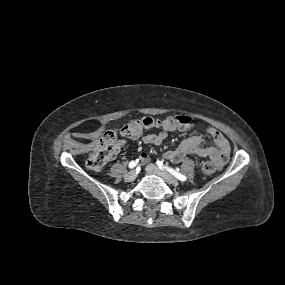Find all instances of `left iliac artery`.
Here are the masks:
<instances>
[{
  "mask_svg": "<svg viewBox=\"0 0 285 285\" xmlns=\"http://www.w3.org/2000/svg\"><path fill=\"white\" fill-rule=\"evenodd\" d=\"M156 163L159 166V168L166 169L169 173L174 175L180 181H186V176H184L183 174L179 173L178 171H175L174 169H172V168H170L168 166H164L162 161L157 160Z\"/></svg>",
  "mask_w": 285,
  "mask_h": 285,
  "instance_id": "1",
  "label": "left iliac artery"
}]
</instances>
